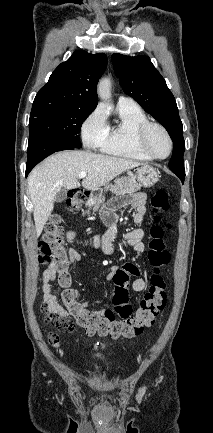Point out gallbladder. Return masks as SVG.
Returning a JSON list of instances; mask_svg holds the SVG:
<instances>
[{
	"label": "gallbladder",
	"mask_w": 213,
	"mask_h": 433,
	"mask_svg": "<svg viewBox=\"0 0 213 433\" xmlns=\"http://www.w3.org/2000/svg\"><path fill=\"white\" fill-rule=\"evenodd\" d=\"M67 198V190L61 189L59 192H57L55 196V202L60 203L63 202Z\"/></svg>",
	"instance_id": "bac80fb5"
}]
</instances>
